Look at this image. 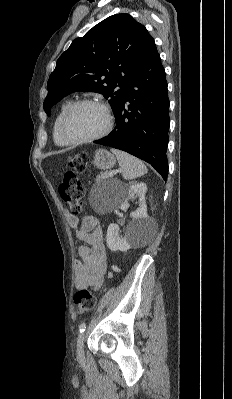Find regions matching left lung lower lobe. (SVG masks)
<instances>
[{
    "mask_svg": "<svg viewBox=\"0 0 232 399\" xmlns=\"http://www.w3.org/2000/svg\"><path fill=\"white\" fill-rule=\"evenodd\" d=\"M116 126L94 143L126 151L151 164L167 180L170 126L165 70L154 39L146 46L115 113Z\"/></svg>",
    "mask_w": 232,
    "mask_h": 399,
    "instance_id": "1",
    "label": "left lung lower lobe"
}]
</instances>
